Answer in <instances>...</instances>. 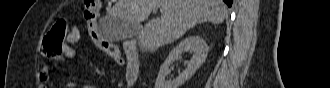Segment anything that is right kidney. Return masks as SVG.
<instances>
[{"instance_id": "1", "label": "right kidney", "mask_w": 330, "mask_h": 88, "mask_svg": "<svg viewBox=\"0 0 330 88\" xmlns=\"http://www.w3.org/2000/svg\"><path fill=\"white\" fill-rule=\"evenodd\" d=\"M193 52V56L187 64L186 69L173 80H165L170 73V65L178 58L182 52ZM208 54V46L206 42L199 36H189L183 39L176 47H174L161 65L158 77L155 82V88H179L185 81L199 69L205 62Z\"/></svg>"}]
</instances>
